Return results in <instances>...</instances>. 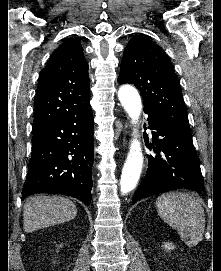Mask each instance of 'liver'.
<instances>
[{
    "label": "liver",
    "mask_w": 221,
    "mask_h": 271,
    "mask_svg": "<svg viewBox=\"0 0 221 271\" xmlns=\"http://www.w3.org/2000/svg\"><path fill=\"white\" fill-rule=\"evenodd\" d=\"M77 207L71 199L61 195H33L28 197L23 207L25 231H35L48 225L70 221L77 215Z\"/></svg>",
    "instance_id": "liver-1"
}]
</instances>
